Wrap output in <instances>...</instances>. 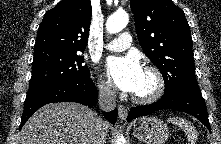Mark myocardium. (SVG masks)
<instances>
[{
  "instance_id": "1",
  "label": "myocardium",
  "mask_w": 221,
  "mask_h": 144,
  "mask_svg": "<svg viewBox=\"0 0 221 144\" xmlns=\"http://www.w3.org/2000/svg\"><path fill=\"white\" fill-rule=\"evenodd\" d=\"M144 71L153 76L155 81L154 89L147 95L133 94V100L140 104H150L157 101L163 95L165 81L159 69L154 66H146Z\"/></svg>"
}]
</instances>
